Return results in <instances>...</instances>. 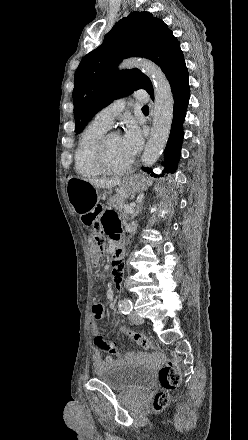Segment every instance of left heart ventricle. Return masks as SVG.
Masks as SVG:
<instances>
[{
    "label": "left heart ventricle",
    "mask_w": 248,
    "mask_h": 440,
    "mask_svg": "<svg viewBox=\"0 0 248 440\" xmlns=\"http://www.w3.org/2000/svg\"><path fill=\"white\" fill-rule=\"evenodd\" d=\"M108 160L110 165L114 168L125 167L131 162L123 151L121 138L117 134L110 136L108 140Z\"/></svg>",
    "instance_id": "left-heart-ventricle-1"
}]
</instances>
